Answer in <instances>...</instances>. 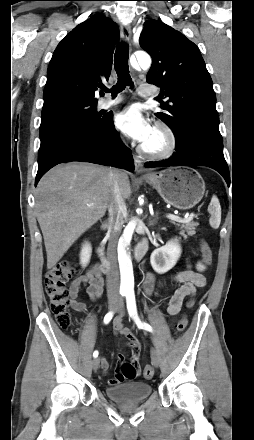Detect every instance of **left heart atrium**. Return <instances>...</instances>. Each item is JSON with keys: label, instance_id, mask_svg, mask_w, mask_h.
<instances>
[{"label": "left heart atrium", "instance_id": "39dd6f15", "mask_svg": "<svg viewBox=\"0 0 254 440\" xmlns=\"http://www.w3.org/2000/svg\"><path fill=\"white\" fill-rule=\"evenodd\" d=\"M114 124L126 136L144 145L154 131V127L148 118L144 116L140 108L131 106L115 116Z\"/></svg>", "mask_w": 254, "mask_h": 440}]
</instances>
